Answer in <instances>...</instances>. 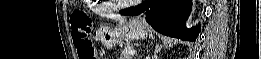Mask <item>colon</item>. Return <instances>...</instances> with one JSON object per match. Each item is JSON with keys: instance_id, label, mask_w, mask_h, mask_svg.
<instances>
[{"instance_id": "5ec220e1", "label": "colon", "mask_w": 261, "mask_h": 59, "mask_svg": "<svg viewBox=\"0 0 261 59\" xmlns=\"http://www.w3.org/2000/svg\"><path fill=\"white\" fill-rule=\"evenodd\" d=\"M73 44L79 59H96V52L90 40L91 22L80 12H74L70 20Z\"/></svg>"}]
</instances>
